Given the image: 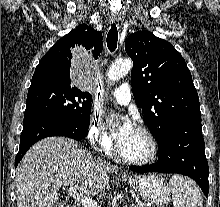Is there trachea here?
Returning a JSON list of instances; mask_svg holds the SVG:
<instances>
[{"label": "trachea", "mask_w": 220, "mask_h": 207, "mask_svg": "<svg viewBox=\"0 0 220 207\" xmlns=\"http://www.w3.org/2000/svg\"><path fill=\"white\" fill-rule=\"evenodd\" d=\"M117 41H118V30L116 24L113 23L107 34V46L111 52L115 51L117 47Z\"/></svg>", "instance_id": "1"}]
</instances>
